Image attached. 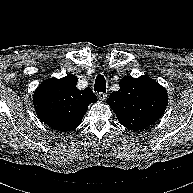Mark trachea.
Instances as JSON below:
<instances>
[{
    "instance_id": "3493384b",
    "label": "trachea",
    "mask_w": 193,
    "mask_h": 193,
    "mask_svg": "<svg viewBox=\"0 0 193 193\" xmlns=\"http://www.w3.org/2000/svg\"><path fill=\"white\" fill-rule=\"evenodd\" d=\"M94 90L97 92H106V80L102 75H98L95 79Z\"/></svg>"
}]
</instances>
